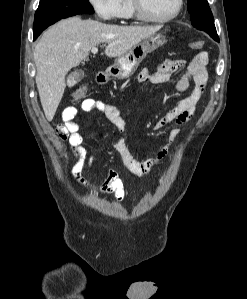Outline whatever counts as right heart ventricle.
Instances as JSON below:
<instances>
[{"mask_svg":"<svg viewBox=\"0 0 247 299\" xmlns=\"http://www.w3.org/2000/svg\"><path fill=\"white\" fill-rule=\"evenodd\" d=\"M134 9L132 0H120L119 2V18L129 20L134 18Z\"/></svg>","mask_w":247,"mask_h":299,"instance_id":"1","label":"right heart ventricle"}]
</instances>
